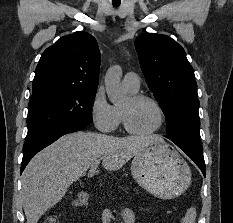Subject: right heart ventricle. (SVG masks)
Segmentation results:
<instances>
[{
	"mask_svg": "<svg viewBox=\"0 0 233 223\" xmlns=\"http://www.w3.org/2000/svg\"><path fill=\"white\" fill-rule=\"evenodd\" d=\"M128 91V90H127ZM130 94H135L136 92H132V91H128ZM116 109V112H117V115H118V117H119V123L122 121L121 120V111H120V109L119 108H115Z\"/></svg>",
	"mask_w": 233,
	"mask_h": 223,
	"instance_id": "1",
	"label": "right heart ventricle"
}]
</instances>
